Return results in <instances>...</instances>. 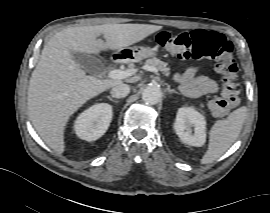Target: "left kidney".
<instances>
[{
    "mask_svg": "<svg viewBox=\"0 0 270 213\" xmlns=\"http://www.w3.org/2000/svg\"><path fill=\"white\" fill-rule=\"evenodd\" d=\"M174 130L185 144L200 147L206 141L205 117L192 107L178 109Z\"/></svg>",
    "mask_w": 270,
    "mask_h": 213,
    "instance_id": "5707ae66",
    "label": "left kidney"
}]
</instances>
